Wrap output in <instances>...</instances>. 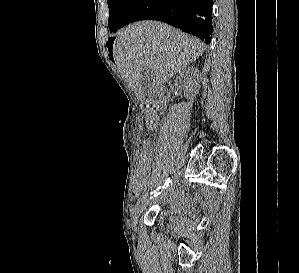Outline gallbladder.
<instances>
[{"label": "gallbladder", "instance_id": "obj_1", "mask_svg": "<svg viewBox=\"0 0 299 273\" xmlns=\"http://www.w3.org/2000/svg\"><path fill=\"white\" fill-rule=\"evenodd\" d=\"M154 82H155V78L152 70H150L149 68H145L141 76V86L145 96L148 98H153L156 96L153 89Z\"/></svg>", "mask_w": 299, "mask_h": 273}]
</instances>
